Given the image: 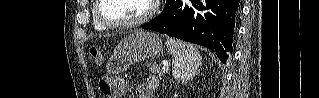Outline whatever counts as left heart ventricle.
<instances>
[{
  "label": "left heart ventricle",
  "instance_id": "1",
  "mask_svg": "<svg viewBox=\"0 0 319 98\" xmlns=\"http://www.w3.org/2000/svg\"><path fill=\"white\" fill-rule=\"evenodd\" d=\"M147 7V0H104L101 13L109 21H129L141 16Z\"/></svg>",
  "mask_w": 319,
  "mask_h": 98
}]
</instances>
